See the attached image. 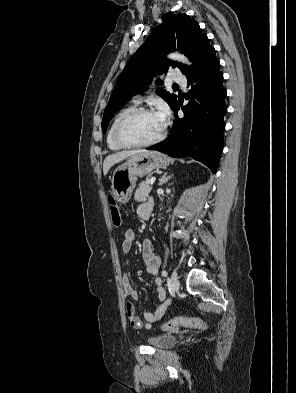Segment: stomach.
I'll use <instances>...</instances> for the list:
<instances>
[{
	"label": "stomach",
	"instance_id": "1",
	"mask_svg": "<svg viewBox=\"0 0 296 393\" xmlns=\"http://www.w3.org/2000/svg\"><path fill=\"white\" fill-rule=\"evenodd\" d=\"M168 165V157L155 151L131 156L113 172L111 189L114 198L119 203H127L136 186L137 177H143L155 169L166 168Z\"/></svg>",
	"mask_w": 296,
	"mask_h": 393
}]
</instances>
